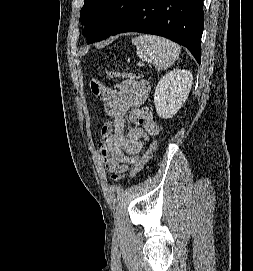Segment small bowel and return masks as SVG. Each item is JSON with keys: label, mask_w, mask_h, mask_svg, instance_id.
<instances>
[{"label": "small bowel", "mask_w": 253, "mask_h": 271, "mask_svg": "<svg viewBox=\"0 0 253 271\" xmlns=\"http://www.w3.org/2000/svg\"><path fill=\"white\" fill-rule=\"evenodd\" d=\"M150 84L143 79L124 77L118 89L103 88L98 99L109 119L101 128L98 153L112 174L122 175L139 159L144 141L159 134L153 112L145 107ZM133 126L126 130V118Z\"/></svg>", "instance_id": "1"}]
</instances>
